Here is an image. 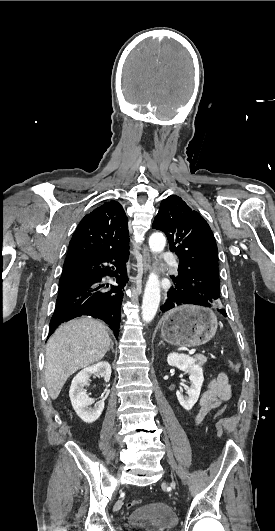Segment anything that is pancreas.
Here are the masks:
<instances>
[{"label":"pancreas","instance_id":"cf45deb5","mask_svg":"<svg viewBox=\"0 0 275 531\" xmlns=\"http://www.w3.org/2000/svg\"><path fill=\"white\" fill-rule=\"evenodd\" d=\"M195 361H198V365H205L207 357H204V355H195Z\"/></svg>","mask_w":275,"mask_h":531}]
</instances>
